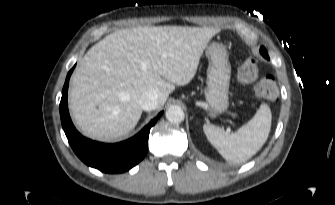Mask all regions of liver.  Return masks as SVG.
<instances>
[{
  "label": "liver",
  "mask_w": 335,
  "mask_h": 205,
  "mask_svg": "<svg viewBox=\"0 0 335 205\" xmlns=\"http://www.w3.org/2000/svg\"><path fill=\"white\" fill-rule=\"evenodd\" d=\"M218 29L139 26L107 35L79 61L70 82L69 107L88 137L117 140L137 125L140 96L151 89L162 107L175 85L188 84Z\"/></svg>",
  "instance_id": "liver-1"
}]
</instances>
